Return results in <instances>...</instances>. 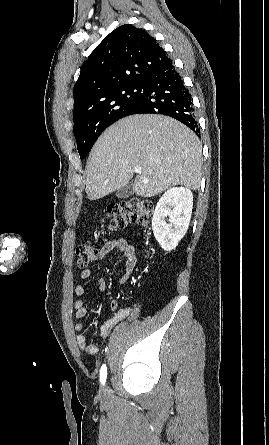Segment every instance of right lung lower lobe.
Masks as SVG:
<instances>
[{"mask_svg": "<svg viewBox=\"0 0 269 445\" xmlns=\"http://www.w3.org/2000/svg\"><path fill=\"white\" fill-rule=\"evenodd\" d=\"M144 85L143 96L129 115L144 113L167 115L179 120L199 135L191 94L172 60L153 71Z\"/></svg>", "mask_w": 269, "mask_h": 445, "instance_id": "1", "label": "right lung lower lobe"}]
</instances>
